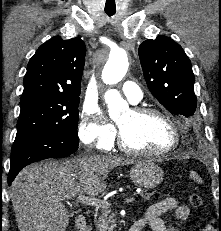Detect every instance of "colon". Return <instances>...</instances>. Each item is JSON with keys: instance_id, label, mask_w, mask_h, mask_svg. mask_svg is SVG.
<instances>
[{"instance_id": "obj_1", "label": "colon", "mask_w": 221, "mask_h": 231, "mask_svg": "<svg viewBox=\"0 0 221 231\" xmlns=\"http://www.w3.org/2000/svg\"><path fill=\"white\" fill-rule=\"evenodd\" d=\"M189 202H190L191 206H193L195 208H199V207H201L203 205V199L197 193L190 194Z\"/></svg>"}]
</instances>
